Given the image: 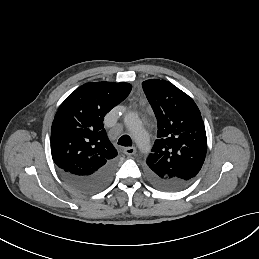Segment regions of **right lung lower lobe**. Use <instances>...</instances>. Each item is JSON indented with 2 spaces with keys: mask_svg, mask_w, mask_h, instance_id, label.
Instances as JSON below:
<instances>
[{
  "mask_svg": "<svg viewBox=\"0 0 259 259\" xmlns=\"http://www.w3.org/2000/svg\"><path fill=\"white\" fill-rule=\"evenodd\" d=\"M115 170V159L92 174L80 175L60 169L63 179L73 188L84 193L97 192L106 187L112 179Z\"/></svg>",
  "mask_w": 259,
  "mask_h": 259,
  "instance_id": "obj_1",
  "label": "right lung lower lobe"
}]
</instances>
